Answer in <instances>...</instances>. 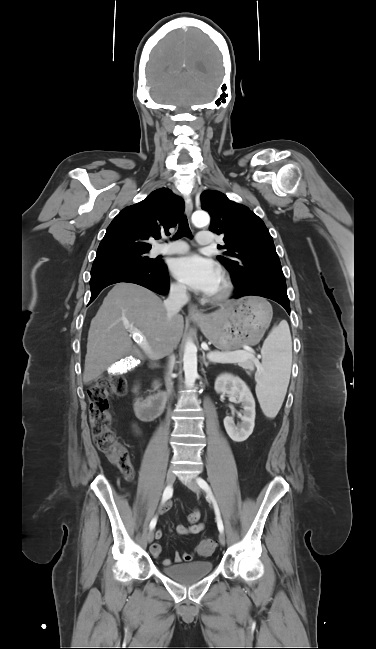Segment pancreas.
Returning <instances> with one entry per match:
<instances>
[{
    "label": "pancreas",
    "mask_w": 376,
    "mask_h": 649,
    "mask_svg": "<svg viewBox=\"0 0 376 649\" xmlns=\"http://www.w3.org/2000/svg\"><path fill=\"white\" fill-rule=\"evenodd\" d=\"M242 351H244V350H237L236 352H242ZM210 353H220V352L215 350V351H212ZM256 363H257V360H255V359H247L245 361L235 362L233 364H237L238 366L242 367L245 370L253 371L254 368H255Z\"/></svg>",
    "instance_id": "obj_1"
}]
</instances>
